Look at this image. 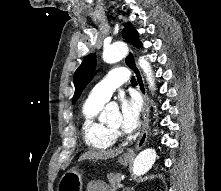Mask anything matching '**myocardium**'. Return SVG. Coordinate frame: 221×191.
I'll list each match as a JSON object with an SVG mask.
<instances>
[{
  "instance_id": "1",
  "label": "myocardium",
  "mask_w": 221,
  "mask_h": 191,
  "mask_svg": "<svg viewBox=\"0 0 221 191\" xmlns=\"http://www.w3.org/2000/svg\"><path fill=\"white\" fill-rule=\"evenodd\" d=\"M108 127V129L115 135V134H119V129L115 128V127H111L110 125H106Z\"/></svg>"
}]
</instances>
